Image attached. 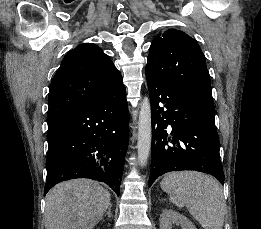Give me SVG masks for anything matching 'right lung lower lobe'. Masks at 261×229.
<instances>
[{"label":"right lung lower lobe","mask_w":261,"mask_h":229,"mask_svg":"<svg viewBox=\"0 0 261 229\" xmlns=\"http://www.w3.org/2000/svg\"><path fill=\"white\" fill-rule=\"evenodd\" d=\"M129 114L122 80L48 128L46 194L59 182L88 178L119 196L128 147Z\"/></svg>","instance_id":"right-lung-lower-lobe-1"}]
</instances>
